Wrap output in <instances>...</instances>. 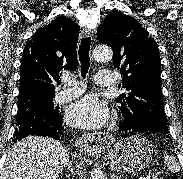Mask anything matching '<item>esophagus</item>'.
<instances>
[{
    "label": "esophagus",
    "mask_w": 183,
    "mask_h": 179,
    "mask_svg": "<svg viewBox=\"0 0 183 179\" xmlns=\"http://www.w3.org/2000/svg\"><path fill=\"white\" fill-rule=\"evenodd\" d=\"M83 37H92L93 31L85 28L82 30ZM112 135L107 133L83 134L79 137L78 143L85 151L90 154H97L108 148L113 142Z\"/></svg>",
    "instance_id": "1"
}]
</instances>
